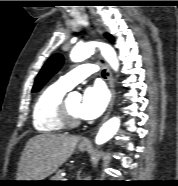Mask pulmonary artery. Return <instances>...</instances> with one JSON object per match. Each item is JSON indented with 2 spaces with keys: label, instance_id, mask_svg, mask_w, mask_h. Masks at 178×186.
I'll use <instances>...</instances> for the list:
<instances>
[{
  "label": "pulmonary artery",
  "instance_id": "obj_1",
  "mask_svg": "<svg viewBox=\"0 0 178 186\" xmlns=\"http://www.w3.org/2000/svg\"><path fill=\"white\" fill-rule=\"evenodd\" d=\"M98 67L94 64H82L77 66L74 70L68 74L59 78L58 83L64 88L70 90L77 83L81 82L83 79L89 75L96 73Z\"/></svg>",
  "mask_w": 178,
  "mask_h": 186
}]
</instances>
